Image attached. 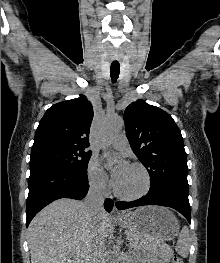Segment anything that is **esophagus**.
<instances>
[{
    "label": "esophagus",
    "mask_w": 220,
    "mask_h": 263,
    "mask_svg": "<svg viewBox=\"0 0 220 263\" xmlns=\"http://www.w3.org/2000/svg\"><path fill=\"white\" fill-rule=\"evenodd\" d=\"M112 215H113L114 217H120V216H121L120 211L116 208L115 205H114V208H113V210H112Z\"/></svg>",
    "instance_id": "34e87169"
}]
</instances>
